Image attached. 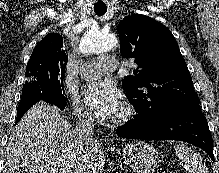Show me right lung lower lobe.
I'll return each instance as SVG.
<instances>
[{"mask_svg": "<svg viewBox=\"0 0 219 173\" xmlns=\"http://www.w3.org/2000/svg\"><path fill=\"white\" fill-rule=\"evenodd\" d=\"M40 100H43L53 106H56L60 108L61 110H64L65 108V105L56 103L54 100L48 98L42 93L33 92V93L26 94V95H22L20 103L18 105V109H17L16 123H18V121L21 119V117L24 115V113L28 109H30L35 103H37Z\"/></svg>", "mask_w": 219, "mask_h": 173, "instance_id": "98d812e1", "label": "right lung lower lobe"}]
</instances>
